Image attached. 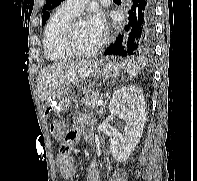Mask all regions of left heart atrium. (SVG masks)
Instances as JSON below:
<instances>
[{"mask_svg": "<svg viewBox=\"0 0 197 181\" xmlns=\"http://www.w3.org/2000/svg\"><path fill=\"white\" fill-rule=\"evenodd\" d=\"M89 25L99 34L104 35L106 21L100 10H94L88 20Z\"/></svg>", "mask_w": 197, "mask_h": 181, "instance_id": "39dd6f15", "label": "left heart atrium"}]
</instances>
